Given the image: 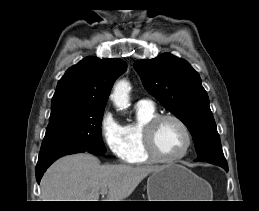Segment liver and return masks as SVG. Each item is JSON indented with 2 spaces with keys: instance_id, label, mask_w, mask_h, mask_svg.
<instances>
[{
  "instance_id": "obj_1",
  "label": "liver",
  "mask_w": 259,
  "mask_h": 211,
  "mask_svg": "<svg viewBox=\"0 0 259 211\" xmlns=\"http://www.w3.org/2000/svg\"><path fill=\"white\" fill-rule=\"evenodd\" d=\"M163 166L101 165L98 158L81 153L65 156L52 164L41 180L42 201H123L149 174Z\"/></svg>"
}]
</instances>
